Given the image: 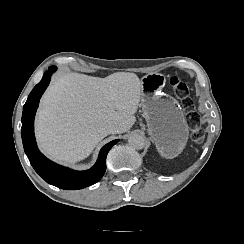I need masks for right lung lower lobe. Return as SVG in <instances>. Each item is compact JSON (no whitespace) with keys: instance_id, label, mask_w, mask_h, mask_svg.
Returning <instances> with one entry per match:
<instances>
[{"instance_id":"98d812e1","label":"right lung lower lobe","mask_w":244,"mask_h":244,"mask_svg":"<svg viewBox=\"0 0 244 244\" xmlns=\"http://www.w3.org/2000/svg\"><path fill=\"white\" fill-rule=\"evenodd\" d=\"M55 66L49 67L42 80L33 88L23 107L21 135L24 151L35 171L49 184L61 189L77 190L98 182L106 170L109 150L119 141L113 140L103 146L96 164L86 171H75L60 166L46 158L37 148L34 136V117L41 95L47 88Z\"/></svg>"}]
</instances>
